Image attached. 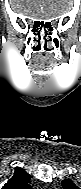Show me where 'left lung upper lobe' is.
I'll use <instances>...</instances> for the list:
<instances>
[{"label": "left lung upper lobe", "instance_id": "5c2ea615", "mask_svg": "<svg viewBox=\"0 0 81 189\" xmlns=\"http://www.w3.org/2000/svg\"><path fill=\"white\" fill-rule=\"evenodd\" d=\"M64 189H79L71 180L65 179L62 181Z\"/></svg>", "mask_w": 81, "mask_h": 189}]
</instances>
